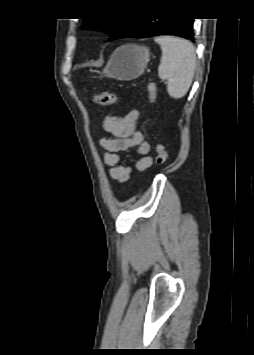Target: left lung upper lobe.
Instances as JSON below:
<instances>
[{
	"label": "left lung upper lobe",
	"mask_w": 254,
	"mask_h": 355,
	"mask_svg": "<svg viewBox=\"0 0 254 355\" xmlns=\"http://www.w3.org/2000/svg\"><path fill=\"white\" fill-rule=\"evenodd\" d=\"M133 18L127 19H113V18H98L84 20L85 22L82 25V29H91V30H101L110 35L109 40L118 39L125 30L130 26Z\"/></svg>",
	"instance_id": "left-lung-upper-lobe-1"
}]
</instances>
